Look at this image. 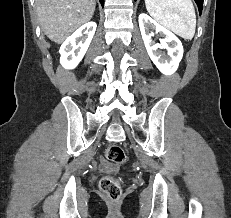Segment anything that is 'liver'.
Wrapping results in <instances>:
<instances>
[{"label":"liver","mask_w":231,"mask_h":218,"mask_svg":"<svg viewBox=\"0 0 231 218\" xmlns=\"http://www.w3.org/2000/svg\"><path fill=\"white\" fill-rule=\"evenodd\" d=\"M95 6V0H36L41 29L57 44L90 21Z\"/></svg>","instance_id":"6515ba94"}]
</instances>
